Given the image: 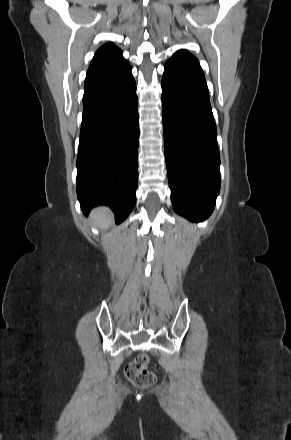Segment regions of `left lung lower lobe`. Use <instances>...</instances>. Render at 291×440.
Wrapping results in <instances>:
<instances>
[{"label": "left lung lower lobe", "instance_id": "left-lung-lower-lobe-1", "mask_svg": "<svg viewBox=\"0 0 291 440\" xmlns=\"http://www.w3.org/2000/svg\"><path fill=\"white\" fill-rule=\"evenodd\" d=\"M165 158L174 210L200 222L220 190V156L209 91L198 60L176 52L161 82Z\"/></svg>", "mask_w": 291, "mask_h": 440}]
</instances>
